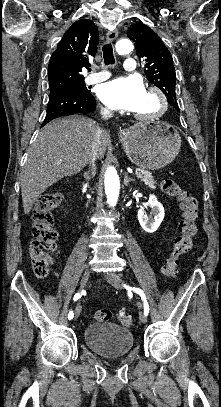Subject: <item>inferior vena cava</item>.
Here are the masks:
<instances>
[{"mask_svg": "<svg viewBox=\"0 0 221 407\" xmlns=\"http://www.w3.org/2000/svg\"><path fill=\"white\" fill-rule=\"evenodd\" d=\"M101 116L103 119L107 120L113 116V112L107 108H101ZM104 130L100 127H97L96 135L94 138V143L92 145L91 154H90V164H95V160L99 157L101 151V138L104 134Z\"/></svg>", "mask_w": 221, "mask_h": 407, "instance_id": "inferior-vena-cava-1", "label": "inferior vena cava"}]
</instances>
